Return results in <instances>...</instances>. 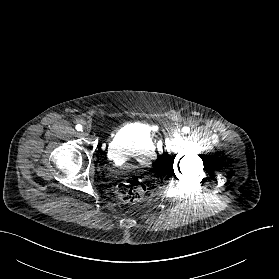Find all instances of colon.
<instances>
[{
  "label": "colon",
  "mask_w": 279,
  "mask_h": 279,
  "mask_svg": "<svg viewBox=\"0 0 279 279\" xmlns=\"http://www.w3.org/2000/svg\"><path fill=\"white\" fill-rule=\"evenodd\" d=\"M147 190L146 184L139 178H128L116 188L117 197L123 202L132 203L143 198Z\"/></svg>",
  "instance_id": "1"
}]
</instances>
